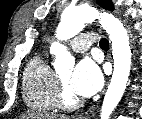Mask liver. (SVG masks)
I'll return each instance as SVG.
<instances>
[{"mask_svg": "<svg viewBox=\"0 0 142 119\" xmlns=\"http://www.w3.org/2000/svg\"><path fill=\"white\" fill-rule=\"evenodd\" d=\"M21 119H68V117L38 112V113H30L28 115H23Z\"/></svg>", "mask_w": 142, "mask_h": 119, "instance_id": "obj_1", "label": "liver"}]
</instances>
